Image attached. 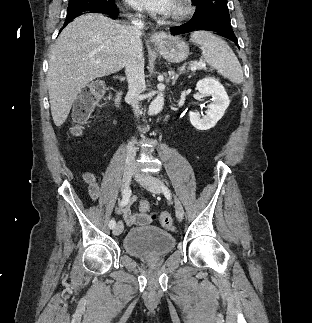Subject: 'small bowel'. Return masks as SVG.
Masks as SVG:
<instances>
[{
    "instance_id": "obj_1",
    "label": "small bowel",
    "mask_w": 312,
    "mask_h": 323,
    "mask_svg": "<svg viewBox=\"0 0 312 323\" xmlns=\"http://www.w3.org/2000/svg\"><path fill=\"white\" fill-rule=\"evenodd\" d=\"M83 180L88 185L90 196L93 199H98L100 196V185L96 174L86 172L83 174ZM135 199H132L126 206L117 209V212L123 216L124 222L127 226H143L150 222V217L144 213H135L132 206Z\"/></svg>"
}]
</instances>
